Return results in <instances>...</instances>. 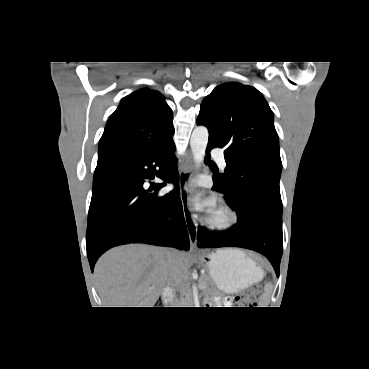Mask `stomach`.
<instances>
[{
  "instance_id": "stomach-1",
  "label": "stomach",
  "mask_w": 369,
  "mask_h": 369,
  "mask_svg": "<svg viewBox=\"0 0 369 369\" xmlns=\"http://www.w3.org/2000/svg\"><path fill=\"white\" fill-rule=\"evenodd\" d=\"M204 261L212 280L225 293H237L257 283L263 276L261 268L238 250H218Z\"/></svg>"
}]
</instances>
